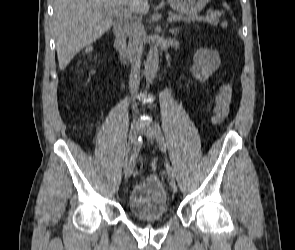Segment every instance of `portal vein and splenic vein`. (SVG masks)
Here are the masks:
<instances>
[{"mask_svg": "<svg viewBox=\"0 0 295 250\" xmlns=\"http://www.w3.org/2000/svg\"><path fill=\"white\" fill-rule=\"evenodd\" d=\"M108 11L110 13H113V14H116V15H122V14L128 13V11L126 9H124V8H110V9H108ZM175 20H177V18L175 16H170L168 18L169 22H172V21H175Z\"/></svg>", "mask_w": 295, "mask_h": 250, "instance_id": "1", "label": "portal vein and splenic vein"}]
</instances>
